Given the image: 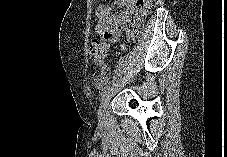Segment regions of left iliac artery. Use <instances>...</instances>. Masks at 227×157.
Masks as SVG:
<instances>
[{
	"instance_id": "44dca946",
	"label": "left iliac artery",
	"mask_w": 227,
	"mask_h": 157,
	"mask_svg": "<svg viewBox=\"0 0 227 157\" xmlns=\"http://www.w3.org/2000/svg\"><path fill=\"white\" fill-rule=\"evenodd\" d=\"M111 89V85H107L106 87H104V89H102L101 96L104 97L107 93L110 92Z\"/></svg>"
}]
</instances>
